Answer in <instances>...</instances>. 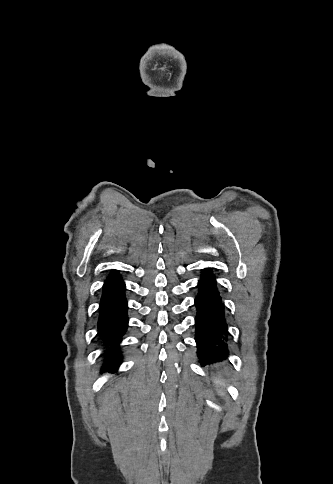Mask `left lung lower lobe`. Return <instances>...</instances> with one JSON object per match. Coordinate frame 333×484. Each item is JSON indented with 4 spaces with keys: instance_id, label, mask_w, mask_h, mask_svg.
Returning a JSON list of instances; mask_svg holds the SVG:
<instances>
[{
    "instance_id": "obj_1",
    "label": "left lung lower lobe",
    "mask_w": 333,
    "mask_h": 484,
    "mask_svg": "<svg viewBox=\"0 0 333 484\" xmlns=\"http://www.w3.org/2000/svg\"><path fill=\"white\" fill-rule=\"evenodd\" d=\"M199 293L195 299L197 354L203 365L225 358L228 352L225 307L217 290L215 277L209 270L198 284Z\"/></svg>"
}]
</instances>
